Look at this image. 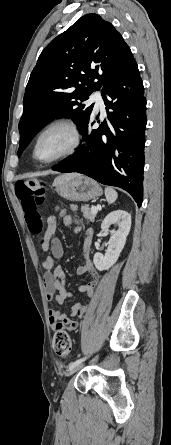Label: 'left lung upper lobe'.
<instances>
[{
    "instance_id": "5c2ea615",
    "label": "left lung upper lobe",
    "mask_w": 171,
    "mask_h": 445,
    "mask_svg": "<svg viewBox=\"0 0 171 445\" xmlns=\"http://www.w3.org/2000/svg\"><path fill=\"white\" fill-rule=\"evenodd\" d=\"M134 63L129 46L111 23L93 13L81 17L42 51L30 75L18 154L54 118H71L81 132L93 109V104L81 102Z\"/></svg>"
}]
</instances>
